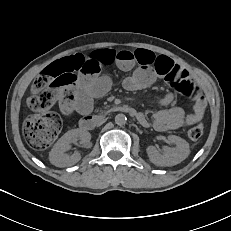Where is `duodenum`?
I'll return each mask as SVG.
<instances>
[{
	"mask_svg": "<svg viewBox=\"0 0 231 231\" xmlns=\"http://www.w3.org/2000/svg\"><path fill=\"white\" fill-rule=\"evenodd\" d=\"M114 112L126 113V114H129L130 116H132L138 120L142 118L141 113H139L135 109H133L129 106H126V105L117 106L114 109ZM101 118H104V116H99V115L85 116L80 120L79 127L83 131L92 130L98 124V122L100 121Z\"/></svg>",
	"mask_w": 231,
	"mask_h": 231,
	"instance_id": "obj_1",
	"label": "duodenum"
}]
</instances>
